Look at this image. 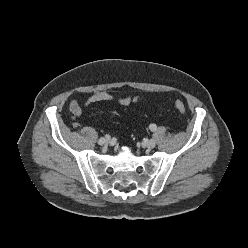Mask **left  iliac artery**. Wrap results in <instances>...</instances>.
Listing matches in <instances>:
<instances>
[{"label": "left iliac artery", "instance_id": "obj_1", "mask_svg": "<svg viewBox=\"0 0 248 248\" xmlns=\"http://www.w3.org/2000/svg\"><path fill=\"white\" fill-rule=\"evenodd\" d=\"M149 128L151 131H155L157 129V126L155 124H150Z\"/></svg>", "mask_w": 248, "mask_h": 248}]
</instances>
